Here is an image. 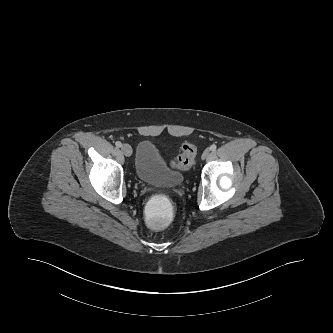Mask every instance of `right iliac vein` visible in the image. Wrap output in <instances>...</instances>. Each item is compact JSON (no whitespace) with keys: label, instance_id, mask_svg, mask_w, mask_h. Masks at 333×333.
<instances>
[{"label":"right iliac vein","instance_id":"obj_1","mask_svg":"<svg viewBox=\"0 0 333 333\" xmlns=\"http://www.w3.org/2000/svg\"><path fill=\"white\" fill-rule=\"evenodd\" d=\"M121 150H122V153L127 157L131 156V154H132V148L128 144L122 145Z\"/></svg>","mask_w":333,"mask_h":333}]
</instances>
